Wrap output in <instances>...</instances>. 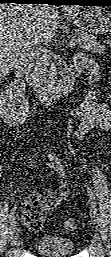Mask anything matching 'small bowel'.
<instances>
[{
	"label": "small bowel",
	"instance_id": "c3829d8e",
	"mask_svg": "<svg viewBox=\"0 0 111 257\" xmlns=\"http://www.w3.org/2000/svg\"><path fill=\"white\" fill-rule=\"evenodd\" d=\"M92 108L93 107H89L82 110L83 115H85L86 118L80 130L88 129L90 126H93L94 123H98L100 120H102L99 118V116H96L98 114H95L97 112L96 110L93 111ZM48 167L58 177L57 188H49L44 195L33 196L25 203V223L34 230L40 228L42 222L44 221L45 213L51 208L57 206L62 200H65L69 192V186L66 180V171L62 163L58 159L51 158L48 162Z\"/></svg>",
	"mask_w": 111,
	"mask_h": 257
}]
</instances>
